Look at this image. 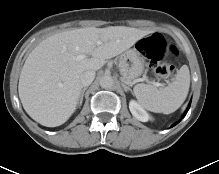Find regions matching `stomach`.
Segmentation results:
<instances>
[{"label":"stomach","instance_id":"0dacf381","mask_svg":"<svg viewBox=\"0 0 219 174\" xmlns=\"http://www.w3.org/2000/svg\"><path fill=\"white\" fill-rule=\"evenodd\" d=\"M118 66L123 79L127 82H130L143 73L145 68V60L139 50L134 47L127 50L120 56Z\"/></svg>","mask_w":219,"mask_h":174}]
</instances>
